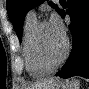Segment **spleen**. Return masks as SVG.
Masks as SVG:
<instances>
[{"label": "spleen", "instance_id": "obj_1", "mask_svg": "<svg viewBox=\"0 0 89 89\" xmlns=\"http://www.w3.org/2000/svg\"><path fill=\"white\" fill-rule=\"evenodd\" d=\"M71 84L73 85V87H75V89H78L79 85H80V81L79 80H72Z\"/></svg>", "mask_w": 89, "mask_h": 89}]
</instances>
